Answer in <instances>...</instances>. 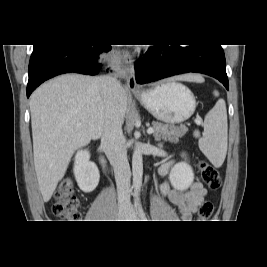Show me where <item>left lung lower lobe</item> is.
<instances>
[{
  "label": "left lung lower lobe",
  "instance_id": "0a47b994",
  "mask_svg": "<svg viewBox=\"0 0 267 267\" xmlns=\"http://www.w3.org/2000/svg\"><path fill=\"white\" fill-rule=\"evenodd\" d=\"M136 81L145 84L177 74L196 72L218 79L228 89L221 45H155L135 62Z\"/></svg>",
  "mask_w": 267,
  "mask_h": 267
}]
</instances>
